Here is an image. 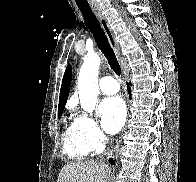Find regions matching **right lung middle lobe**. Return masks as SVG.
<instances>
[{
    "label": "right lung middle lobe",
    "mask_w": 196,
    "mask_h": 182,
    "mask_svg": "<svg viewBox=\"0 0 196 182\" xmlns=\"http://www.w3.org/2000/svg\"><path fill=\"white\" fill-rule=\"evenodd\" d=\"M58 115H59V118L61 117V115H62V113H58Z\"/></svg>",
    "instance_id": "dd1d6c3e"
}]
</instances>
